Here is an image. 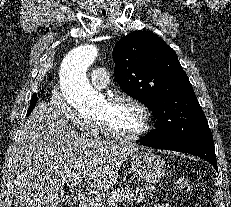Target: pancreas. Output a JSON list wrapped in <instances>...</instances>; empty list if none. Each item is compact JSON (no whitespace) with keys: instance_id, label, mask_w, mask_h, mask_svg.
Returning <instances> with one entry per match:
<instances>
[{"instance_id":"obj_1","label":"pancreas","mask_w":231,"mask_h":207,"mask_svg":"<svg viewBox=\"0 0 231 207\" xmlns=\"http://www.w3.org/2000/svg\"><path fill=\"white\" fill-rule=\"evenodd\" d=\"M156 191L148 186L130 189L129 187L117 188L111 192H107L100 198H94L88 203V207H107L110 203H130L140 204L145 201V197L152 195Z\"/></svg>"}]
</instances>
